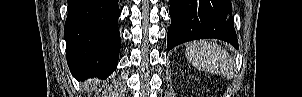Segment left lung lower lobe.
Returning a JSON list of instances; mask_svg holds the SVG:
<instances>
[{"label":"left lung lower lobe","instance_id":"1","mask_svg":"<svg viewBox=\"0 0 302 97\" xmlns=\"http://www.w3.org/2000/svg\"><path fill=\"white\" fill-rule=\"evenodd\" d=\"M230 0H170L167 49L181 43L217 38L238 48Z\"/></svg>","mask_w":302,"mask_h":97}]
</instances>
